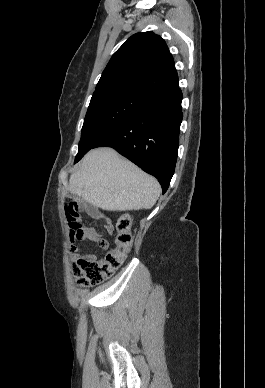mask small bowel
Returning a JSON list of instances; mask_svg holds the SVG:
<instances>
[{
    "mask_svg": "<svg viewBox=\"0 0 265 388\" xmlns=\"http://www.w3.org/2000/svg\"><path fill=\"white\" fill-rule=\"evenodd\" d=\"M87 212H88V214H89L91 217H93V218H95V219H101V220H103V222H104V227H105V229H106V231H107L108 233L113 232L114 227H113V224H112L111 220L108 219L107 217H105L104 215H102L101 212H99L97 209H94V208H89V209L87 210ZM88 233H89V234H88L87 239L96 242L97 245H98L101 249H106V248L108 247L107 241H106L104 238H102L98 233H96L94 230L88 229ZM72 251H73V255H74L75 258L83 257V258H86V259H88V260H96V257H95L94 254H86V255H84V256H79V254H78V248H77V247H73V248H72Z\"/></svg>",
    "mask_w": 265,
    "mask_h": 388,
    "instance_id": "obj_1",
    "label": "small bowel"
}]
</instances>
